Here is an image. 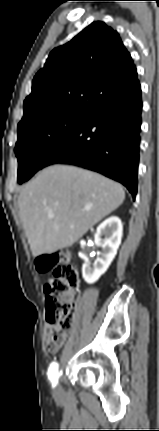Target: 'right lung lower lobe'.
Returning a JSON list of instances; mask_svg holds the SVG:
<instances>
[{"label":"right lung lower lobe","mask_w":159,"mask_h":431,"mask_svg":"<svg viewBox=\"0 0 159 431\" xmlns=\"http://www.w3.org/2000/svg\"><path fill=\"white\" fill-rule=\"evenodd\" d=\"M141 112L138 81L90 112L50 150L42 168L66 163L93 170L122 183L134 198L138 184Z\"/></svg>","instance_id":"obj_1"}]
</instances>
